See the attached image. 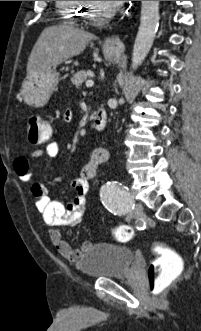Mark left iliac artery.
<instances>
[{
	"mask_svg": "<svg viewBox=\"0 0 201 331\" xmlns=\"http://www.w3.org/2000/svg\"><path fill=\"white\" fill-rule=\"evenodd\" d=\"M100 192L102 203L114 215H125L134 209V200L128 188L121 183L107 182Z\"/></svg>",
	"mask_w": 201,
	"mask_h": 331,
	"instance_id": "left-iliac-artery-1",
	"label": "left iliac artery"
}]
</instances>
